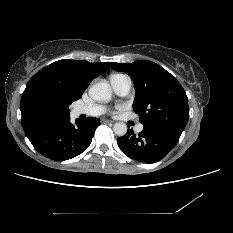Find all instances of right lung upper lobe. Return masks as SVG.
<instances>
[{
    "mask_svg": "<svg viewBox=\"0 0 233 233\" xmlns=\"http://www.w3.org/2000/svg\"><path fill=\"white\" fill-rule=\"evenodd\" d=\"M108 67V62L62 59L37 72L27 83L20 103L22 126L29 140L70 119L69 105Z\"/></svg>",
    "mask_w": 233,
    "mask_h": 233,
    "instance_id": "cb5924a9",
    "label": "right lung upper lobe"
}]
</instances>
